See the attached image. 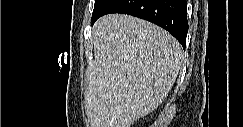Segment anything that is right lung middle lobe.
<instances>
[{"instance_id": "right-lung-middle-lobe-1", "label": "right lung middle lobe", "mask_w": 243, "mask_h": 127, "mask_svg": "<svg viewBox=\"0 0 243 127\" xmlns=\"http://www.w3.org/2000/svg\"><path fill=\"white\" fill-rule=\"evenodd\" d=\"M106 2L107 0H95L92 17L100 11V9L104 6Z\"/></svg>"}]
</instances>
